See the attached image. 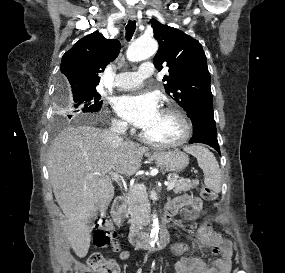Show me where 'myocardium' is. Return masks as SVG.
Instances as JSON below:
<instances>
[{
  "label": "myocardium",
  "mask_w": 285,
  "mask_h": 273,
  "mask_svg": "<svg viewBox=\"0 0 285 273\" xmlns=\"http://www.w3.org/2000/svg\"><path fill=\"white\" fill-rule=\"evenodd\" d=\"M161 112L172 114L178 119L181 125V128H182L180 136L171 141L161 142V141L152 140L151 138L146 136L144 132L142 131L140 133L141 140L151 146L159 147V148H174V147H178V146L185 144L191 138L192 130H193L192 123L188 115L184 112V110H182L180 107L176 105L166 106L161 110Z\"/></svg>",
  "instance_id": "f54148a6"
}]
</instances>
